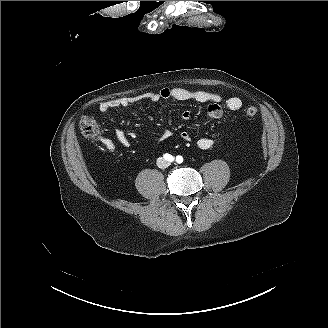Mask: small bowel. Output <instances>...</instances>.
I'll return each mask as SVG.
<instances>
[{
    "mask_svg": "<svg viewBox=\"0 0 328 328\" xmlns=\"http://www.w3.org/2000/svg\"><path fill=\"white\" fill-rule=\"evenodd\" d=\"M162 99H174L177 101H196L200 103H209L207 108V114L212 119H220L224 114V108L231 111H238L242 108V100L239 97H230L225 99L224 96L216 91L211 90H189L181 87H164L159 91H148L135 96H124L107 101H103L99 104V111L106 113L111 109L124 108L130 105L148 101L158 102ZM181 119L186 121L191 118V111L184 110L181 115ZM115 136L118 142L124 147L130 146V140L126 134L117 129ZM172 136V132L169 129H165L159 138L157 143H161ZM182 140L190 142L192 135L189 131H182L180 134ZM102 144L109 152L115 151V144L108 138H101ZM213 140L210 137H201L197 140V146L202 150L210 149L213 146Z\"/></svg>",
    "mask_w": 328,
    "mask_h": 328,
    "instance_id": "small-bowel-1",
    "label": "small bowel"
}]
</instances>
